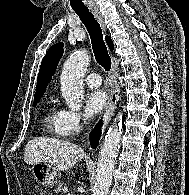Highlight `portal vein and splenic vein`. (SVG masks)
Instances as JSON below:
<instances>
[{
    "label": "portal vein and splenic vein",
    "instance_id": "portal-vein-and-splenic-vein-1",
    "mask_svg": "<svg viewBox=\"0 0 189 195\" xmlns=\"http://www.w3.org/2000/svg\"><path fill=\"white\" fill-rule=\"evenodd\" d=\"M67 195H73L72 193H68Z\"/></svg>",
    "mask_w": 189,
    "mask_h": 195
}]
</instances>
